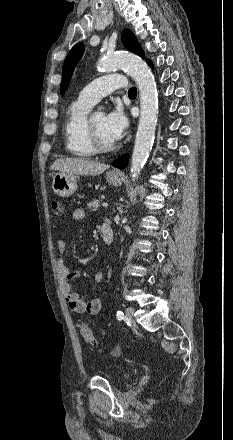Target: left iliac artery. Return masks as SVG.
<instances>
[{"label":"left iliac artery","mask_w":233,"mask_h":440,"mask_svg":"<svg viewBox=\"0 0 233 440\" xmlns=\"http://www.w3.org/2000/svg\"><path fill=\"white\" fill-rule=\"evenodd\" d=\"M117 318H118V320H122V319H124V313L121 312V311H118V312H117Z\"/></svg>","instance_id":"left-iliac-artery-1"}]
</instances>
